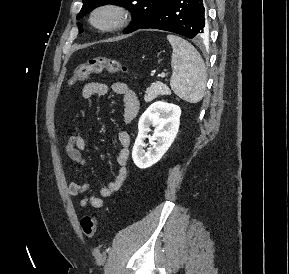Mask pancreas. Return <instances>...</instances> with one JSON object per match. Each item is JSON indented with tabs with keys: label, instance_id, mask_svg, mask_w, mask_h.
<instances>
[{
	"label": "pancreas",
	"instance_id": "pancreas-1",
	"mask_svg": "<svg viewBox=\"0 0 289 274\" xmlns=\"http://www.w3.org/2000/svg\"><path fill=\"white\" fill-rule=\"evenodd\" d=\"M145 93V102H151L160 95H170L171 91L167 85L157 82L153 83L149 88H147Z\"/></svg>",
	"mask_w": 289,
	"mask_h": 274
}]
</instances>
